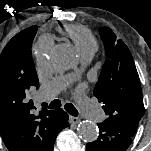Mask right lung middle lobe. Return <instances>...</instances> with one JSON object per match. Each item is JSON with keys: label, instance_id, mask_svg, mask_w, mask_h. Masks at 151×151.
I'll return each instance as SVG.
<instances>
[{"label": "right lung middle lobe", "instance_id": "right-lung-middle-lobe-1", "mask_svg": "<svg viewBox=\"0 0 151 151\" xmlns=\"http://www.w3.org/2000/svg\"><path fill=\"white\" fill-rule=\"evenodd\" d=\"M37 26L29 27L18 33L12 39L14 44L6 45L0 56V74L8 79L21 83L36 70L32 60L31 47L36 35Z\"/></svg>", "mask_w": 151, "mask_h": 151}]
</instances>
